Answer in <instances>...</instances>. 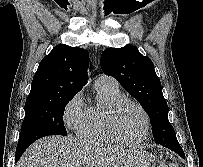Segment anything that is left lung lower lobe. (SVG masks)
Listing matches in <instances>:
<instances>
[{
    "instance_id": "left-lung-lower-lobe-1",
    "label": "left lung lower lobe",
    "mask_w": 203,
    "mask_h": 167,
    "mask_svg": "<svg viewBox=\"0 0 203 167\" xmlns=\"http://www.w3.org/2000/svg\"><path fill=\"white\" fill-rule=\"evenodd\" d=\"M157 144L162 145L163 147H166L174 152H176L177 154L181 155V157H184L182 148L180 147L177 138L175 137H166L165 139L159 140V142Z\"/></svg>"
}]
</instances>
